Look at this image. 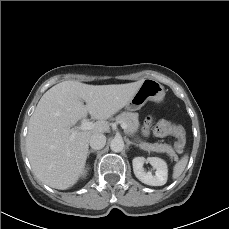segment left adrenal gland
Returning a JSON list of instances; mask_svg holds the SVG:
<instances>
[{
    "mask_svg": "<svg viewBox=\"0 0 229 229\" xmlns=\"http://www.w3.org/2000/svg\"><path fill=\"white\" fill-rule=\"evenodd\" d=\"M127 144H128V145H131V144H132V145H135V143H133V142H131V141H129V140H127Z\"/></svg>",
    "mask_w": 229,
    "mask_h": 229,
    "instance_id": "obj_1",
    "label": "left adrenal gland"
}]
</instances>
